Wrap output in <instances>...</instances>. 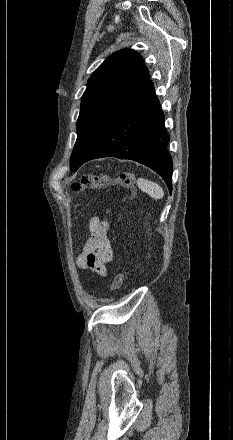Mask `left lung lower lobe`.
I'll use <instances>...</instances> for the list:
<instances>
[{"label": "left lung lower lobe", "mask_w": 233, "mask_h": 440, "mask_svg": "<svg viewBox=\"0 0 233 440\" xmlns=\"http://www.w3.org/2000/svg\"><path fill=\"white\" fill-rule=\"evenodd\" d=\"M169 140L154 85L148 81L115 117L83 163L103 157L131 159L157 172L171 192L172 159L167 151Z\"/></svg>", "instance_id": "0a47b994"}]
</instances>
